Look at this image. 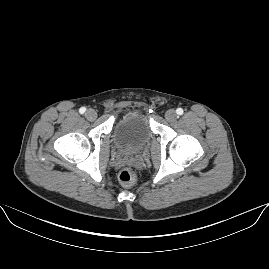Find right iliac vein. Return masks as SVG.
<instances>
[{"label": "right iliac vein", "instance_id": "1", "mask_svg": "<svg viewBox=\"0 0 269 269\" xmlns=\"http://www.w3.org/2000/svg\"><path fill=\"white\" fill-rule=\"evenodd\" d=\"M97 117V112L93 109H88L87 112H86V118L88 120H95Z\"/></svg>", "mask_w": 269, "mask_h": 269}]
</instances>
